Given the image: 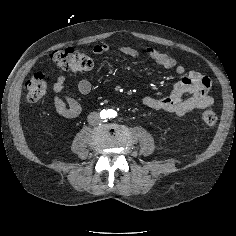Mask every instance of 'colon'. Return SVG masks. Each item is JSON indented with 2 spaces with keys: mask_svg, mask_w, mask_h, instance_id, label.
Listing matches in <instances>:
<instances>
[{
  "mask_svg": "<svg viewBox=\"0 0 236 236\" xmlns=\"http://www.w3.org/2000/svg\"><path fill=\"white\" fill-rule=\"evenodd\" d=\"M52 60L62 69L73 72L89 71L93 62L91 58L73 48L56 50L51 55ZM27 99L30 102H37L47 94V82L44 75L40 73L33 74L25 85ZM202 120L208 126H213L218 120V115L213 110H205L202 113Z\"/></svg>",
  "mask_w": 236,
  "mask_h": 236,
  "instance_id": "5ec220e1",
  "label": "colon"
}]
</instances>
